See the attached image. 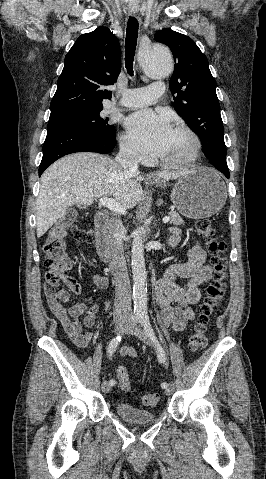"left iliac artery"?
Returning a JSON list of instances; mask_svg holds the SVG:
<instances>
[{
	"label": "left iliac artery",
	"instance_id": "44dca946",
	"mask_svg": "<svg viewBox=\"0 0 266 479\" xmlns=\"http://www.w3.org/2000/svg\"><path fill=\"white\" fill-rule=\"evenodd\" d=\"M140 321L141 324L145 330V332L148 334V336L151 338V340L155 343L156 349H157V356L158 359L161 363H164L166 360V354L162 346L159 344L157 337L155 335V332L151 326V323L149 321V316L147 313H142L140 315ZM168 384L166 382L161 383L162 388H166Z\"/></svg>",
	"mask_w": 266,
	"mask_h": 479
}]
</instances>
